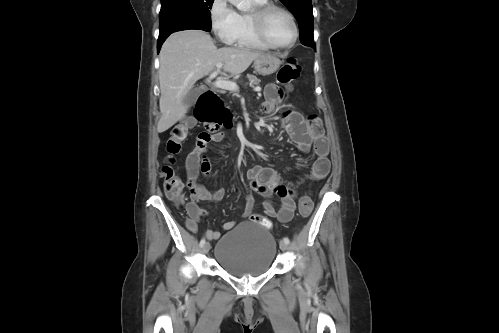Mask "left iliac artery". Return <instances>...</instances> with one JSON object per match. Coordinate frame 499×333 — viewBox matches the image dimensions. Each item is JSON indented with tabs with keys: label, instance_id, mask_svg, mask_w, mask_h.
<instances>
[{
	"label": "left iliac artery",
	"instance_id": "1",
	"mask_svg": "<svg viewBox=\"0 0 499 333\" xmlns=\"http://www.w3.org/2000/svg\"><path fill=\"white\" fill-rule=\"evenodd\" d=\"M283 241H284L285 243H287V244H289V243H290V240H289V238H288V237H284V238H283Z\"/></svg>",
	"mask_w": 499,
	"mask_h": 333
}]
</instances>
